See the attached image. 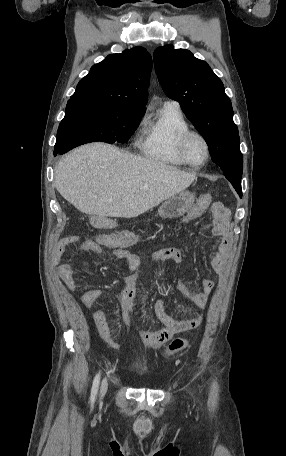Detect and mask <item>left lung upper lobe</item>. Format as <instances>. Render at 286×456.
I'll use <instances>...</instances> for the list:
<instances>
[{"label": "left lung upper lobe", "mask_w": 286, "mask_h": 456, "mask_svg": "<svg viewBox=\"0 0 286 456\" xmlns=\"http://www.w3.org/2000/svg\"><path fill=\"white\" fill-rule=\"evenodd\" d=\"M155 71L165 94L177 100L186 117L206 140L224 175L241 179L243 158L233 109L220 78L209 65L185 49L158 47Z\"/></svg>", "instance_id": "1"}]
</instances>
